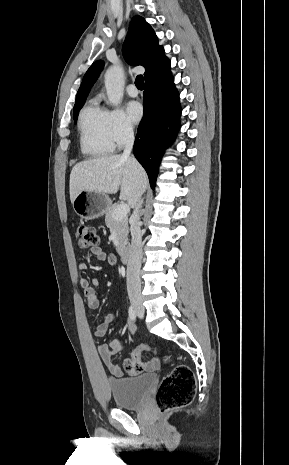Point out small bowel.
<instances>
[{"instance_id": "small-bowel-1", "label": "small bowel", "mask_w": 289, "mask_h": 465, "mask_svg": "<svg viewBox=\"0 0 289 465\" xmlns=\"http://www.w3.org/2000/svg\"><path fill=\"white\" fill-rule=\"evenodd\" d=\"M91 254L98 261H106L111 265H115L117 263L115 255L105 252L100 247H95L91 249ZM79 269L85 271L88 269V266L85 262H80ZM79 284L83 289L87 306L92 310L97 309L100 305V301L96 291V287L100 285L99 280L97 278H92L90 280L86 277H81L79 279ZM114 320V315H106L103 318V320L97 324L94 335L96 337H104L109 329V326L114 322ZM127 326V331L129 333H132L135 330V325L130 320L127 321ZM122 345L123 340L118 339L112 341L109 344H102L99 348L100 355L104 364L106 365L109 372L116 377H121L124 373L121 367L112 361V356L121 350ZM159 367L160 361L158 358H153L149 360L145 365V369L148 371L157 370Z\"/></svg>"}]
</instances>
